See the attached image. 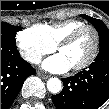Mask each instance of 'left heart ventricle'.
<instances>
[{"label":"left heart ventricle","mask_w":109,"mask_h":109,"mask_svg":"<svg viewBox=\"0 0 109 109\" xmlns=\"http://www.w3.org/2000/svg\"><path fill=\"white\" fill-rule=\"evenodd\" d=\"M95 36L92 30H85L70 46L61 50L71 67L84 62L91 54Z\"/></svg>","instance_id":"left-heart-ventricle-1"}]
</instances>
